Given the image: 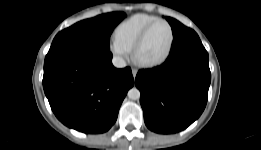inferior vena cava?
Segmentation results:
<instances>
[{"label":"inferior vena cava","instance_id":"obj_1","mask_svg":"<svg viewBox=\"0 0 261 150\" xmlns=\"http://www.w3.org/2000/svg\"><path fill=\"white\" fill-rule=\"evenodd\" d=\"M112 63L116 68L126 67V62L122 57H118V56L113 57Z\"/></svg>","mask_w":261,"mask_h":150}]
</instances>
